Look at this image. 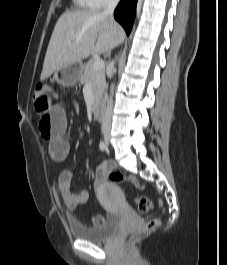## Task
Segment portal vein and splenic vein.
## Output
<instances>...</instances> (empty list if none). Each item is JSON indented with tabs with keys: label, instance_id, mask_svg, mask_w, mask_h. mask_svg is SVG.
I'll return each mask as SVG.
<instances>
[{
	"label": "portal vein and splenic vein",
	"instance_id": "portal-vein-and-splenic-vein-1",
	"mask_svg": "<svg viewBox=\"0 0 227 265\" xmlns=\"http://www.w3.org/2000/svg\"><path fill=\"white\" fill-rule=\"evenodd\" d=\"M93 67L95 70L104 68V61L101 59L95 60Z\"/></svg>",
	"mask_w": 227,
	"mask_h": 265
}]
</instances>
